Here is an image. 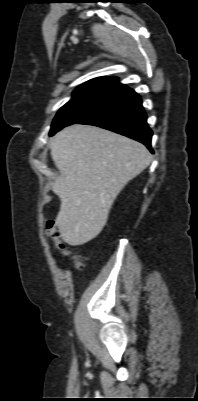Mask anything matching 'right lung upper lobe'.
Instances as JSON below:
<instances>
[{
    "instance_id": "cb5924a9",
    "label": "right lung upper lobe",
    "mask_w": 198,
    "mask_h": 401,
    "mask_svg": "<svg viewBox=\"0 0 198 401\" xmlns=\"http://www.w3.org/2000/svg\"><path fill=\"white\" fill-rule=\"evenodd\" d=\"M118 85L117 78L98 77L80 85L74 92L81 90H113Z\"/></svg>"
}]
</instances>
